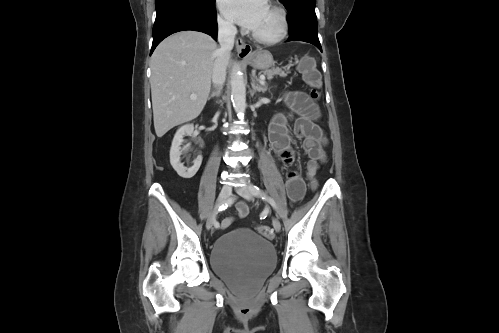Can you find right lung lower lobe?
Listing matches in <instances>:
<instances>
[{"label":"right lung lower lobe","instance_id":"right-lung-lower-lobe-1","mask_svg":"<svg viewBox=\"0 0 499 333\" xmlns=\"http://www.w3.org/2000/svg\"><path fill=\"white\" fill-rule=\"evenodd\" d=\"M217 21L215 5L207 11H195L185 8H174L156 14L153 27V43L151 53L167 36L184 30H194L209 34L217 40Z\"/></svg>","mask_w":499,"mask_h":333}]
</instances>
